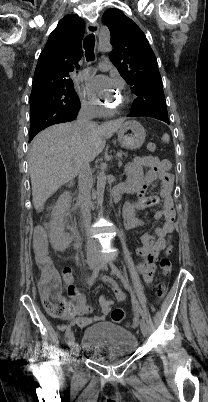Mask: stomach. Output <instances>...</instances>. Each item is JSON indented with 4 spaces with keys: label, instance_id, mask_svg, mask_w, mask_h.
Wrapping results in <instances>:
<instances>
[{
    "label": "stomach",
    "instance_id": "obj_1",
    "mask_svg": "<svg viewBox=\"0 0 208 402\" xmlns=\"http://www.w3.org/2000/svg\"><path fill=\"white\" fill-rule=\"evenodd\" d=\"M146 132L136 120H129L122 124L118 130V140L122 148L126 150H137L141 148L145 140Z\"/></svg>",
    "mask_w": 208,
    "mask_h": 402
}]
</instances>
